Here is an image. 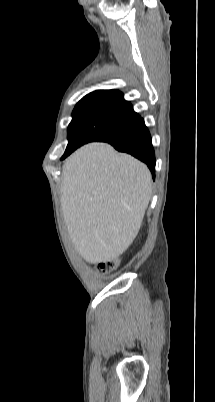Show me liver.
I'll return each instance as SVG.
<instances>
[{
    "label": "liver",
    "instance_id": "obj_1",
    "mask_svg": "<svg viewBox=\"0 0 215 402\" xmlns=\"http://www.w3.org/2000/svg\"><path fill=\"white\" fill-rule=\"evenodd\" d=\"M61 211L69 237L88 263L109 262L136 238L152 196L145 164L94 142L63 165Z\"/></svg>",
    "mask_w": 215,
    "mask_h": 402
}]
</instances>
